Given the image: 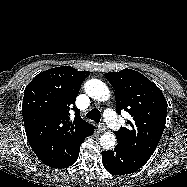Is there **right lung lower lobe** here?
I'll use <instances>...</instances> for the list:
<instances>
[{"label":"right lung lower lobe","instance_id":"98d812e1","mask_svg":"<svg viewBox=\"0 0 187 187\" xmlns=\"http://www.w3.org/2000/svg\"><path fill=\"white\" fill-rule=\"evenodd\" d=\"M93 132L88 134L87 136L81 138L80 140H78L73 145V148L71 149V153H70L69 157L66 160H63V161H61V162H59L57 164L51 165L50 167H52V168H61L62 169V168H67V167L71 166L72 164H74L76 162L77 158H78L81 143L83 142V140L86 137L92 135Z\"/></svg>","mask_w":187,"mask_h":187}]
</instances>
